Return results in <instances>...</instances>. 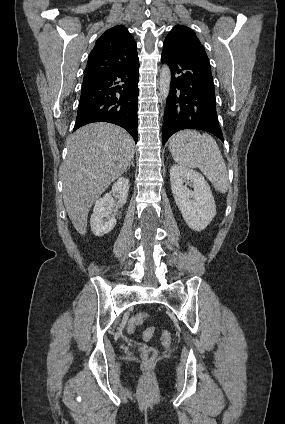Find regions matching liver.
<instances>
[{"label": "liver", "mask_w": 285, "mask_h": 424, "mask_svg": "<svg viewBox=\"0 0 285 424\" xmlns=\"http://www.w3.org/2000/svg\"><path fill=\"white\" fill-rule=\"evenodd\" d=\"M67 148L63 200L74 228L85 235L91 206L130 165L134 141L123 128L98 122L78 129Z\"/></svg>", "instance_id": "obj_1"}]
</instances>
